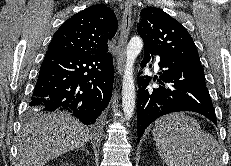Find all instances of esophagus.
Instances as JSON below:
<instances>
[{
	"mask_svg": "<svg viewBox=\"0 0 231 166\" xmlns=\"http://www.w3.org/2000/svg\"><path fill=\"white\" fill-rule=\"evenodd\" d=\"M131 16L132 2L131 0H126L122 16L121 32L117 45V71L120 75L124 70L126 45L128 40V34L131 27Z\"/></svg>",
	"mask_w": 231,
	"mask_h": 166,
	"instance_id": "1",
	"label": "esophagus"
}]
</instances>
